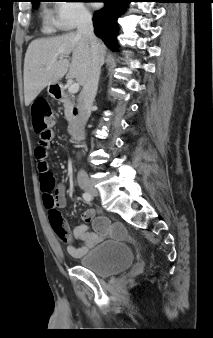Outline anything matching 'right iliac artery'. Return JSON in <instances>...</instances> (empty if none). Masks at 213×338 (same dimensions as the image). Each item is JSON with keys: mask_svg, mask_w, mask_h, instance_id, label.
I'll use <instances>...</instances> for the list:
<instances>
[{"mask_svg": "<svg viewBox=\"0 0 213 338\" xmlns=\"http://www.w3.org/2000/svg\"><path fill=\"white\" fill-rule=\"evenodd\" d=\"M82 196L85 201H91L93 199L92 195L88 192L83 193Z\"/></svg>", "mask_w": 213, "mask_h": 338, "instance_id": "1", "label": "right iliac artery"}]
</instances>
